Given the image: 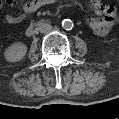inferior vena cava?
Here are the masks:
<instances>
[{"label":"inferior vena cava","instance_id":"602c4592","mask_svg":"<svg viewBox=\"0 0 119 119\" xmlns=\"http://www.w3.org/2000/svg\"><path fill=\"white\" fill-rule=\"evenodd\" d=\"M51 31H52V26L50 24L45 23V24L41 25V27H40L41 33H49Z\"/></svg>","mask_w":119,"mask_h":119}]
</instances>
